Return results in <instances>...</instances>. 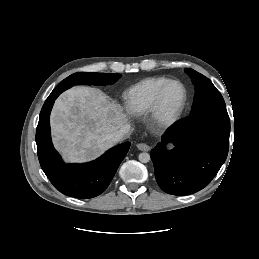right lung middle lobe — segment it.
I'll use <instances>...</instances> for the list:
<instances>
[{
	"label": "right lung middle lobe",
	"mask_w": 259,
	"mask_h": 259,
	"mask_svg": "<svg viewBox=\"0 0 259 259\" xmlns=\"http://www.w3.org/2000/svg\"><path fill=\"white\" fill-rule=\"evenodd\" d=\"M121 77L120 74L79 72L74 73L60 82L52 91V95L60 94L76 84L109 85L115 83Z\"/></svg>",
	"instance_id": "1"
}]
</instances>
